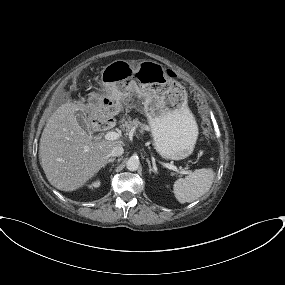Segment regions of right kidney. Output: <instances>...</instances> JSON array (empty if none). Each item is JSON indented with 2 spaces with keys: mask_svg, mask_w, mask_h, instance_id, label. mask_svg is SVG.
I'll return each instance as SVG.
<instances>
[{
  "mask_svg": "<svg viewBox=\"0 0 285 285\" xmlns=\"http://www.w3.org/2000/svg\"><path fill=\"white\" fill-rule=\"evenodd\" d=\"M100 186V181H96V182H94L92 185H90V188H97V187H99Z\"/></svg>",
  "mask_w": 285,
  "mask_h": 285,
  "instance_id": "right-kidney-1",
  "label": "right kidney"
}]
</instances>
